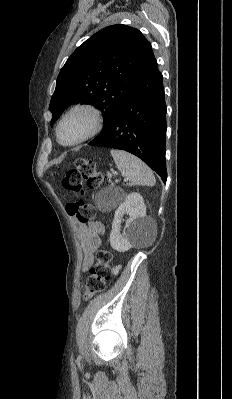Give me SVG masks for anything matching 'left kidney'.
Wrapping results in <instances>:
<instances>
[{
  "instance_id": "1",
  "label": "left kidney",
  "mask_w": 232,
  "mask_h": 399,
  "mask_svg": "<svg viewBox=\"0 0 232 399\" xmlns=\"http://www.w3.org/2000/svg\"><path fill=\"white\" fill-rule=\"evenodd\" d=\"M129 215L126 219L125 231L121 233V221L123 215ZM151 221L146 217V205L140 194H128L123 203H120L114 213L110 243L117 251H127L135 247L150 233Z\"/></svg>"
}]
</instances>
